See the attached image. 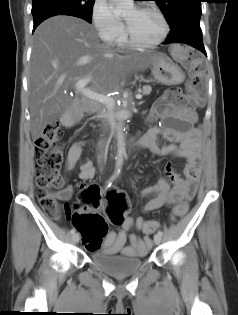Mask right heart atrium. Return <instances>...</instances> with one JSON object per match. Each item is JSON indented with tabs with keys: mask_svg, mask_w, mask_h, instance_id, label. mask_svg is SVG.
Segmentation results:
<instances>
[{
	"mask_svg": "<svg viewBox=\"0 0 238 315\" xmlns=\"http://www.w3.org/2000/svg\"><path fill=\"white\" fill-rule=\"evenodd\" d=\"M91 20L98 36L104 42L112 43L123 33V22L113 13L106 0H94Z\"/></svg>",
	"mask_w": 238,
	"mask_h": 315,
	"instance_id": "1",
	"label": "right heart atrium"
}]
</instances>
